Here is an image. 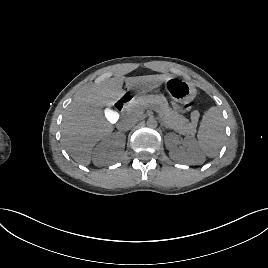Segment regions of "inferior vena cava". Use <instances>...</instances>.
<instances>
[{"mask_svg": "<svg viewBox=\"0 0 268 268\" xmlns=\"http://www.w3.org/2000/svg\"><path fill=\"white\" fill-rule=\"evenodd\" d=\"M137 122V119L133 116H126L117 125V128L121 131L130 130Z\"/></svg>", "mask_w": 268, "mask_h": 268, "instance_id": "inferior-vena-cava-1", "label": "inferior vena cava"}]
</instances>
